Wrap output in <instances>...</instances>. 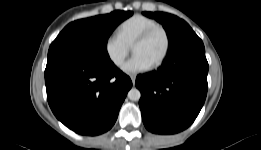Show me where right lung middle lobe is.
<instances>
[{"label": "right lung middle lobe", "mask_w": 261, "mask_h": 150, "mask_svg": "<svg viewBox=\"0 0 261 150\" xmlns=\"http://www.w3.org/2000/svg\"><path fill=\"white\" fill-rule=\"evenodd\" d=\"M132 14L131 11H114L68 24L50 45L48 61L57 58L95 62L110 60L107 53L108 38Z\"/></svg>", "instance_id": "1"}]
</instances>
